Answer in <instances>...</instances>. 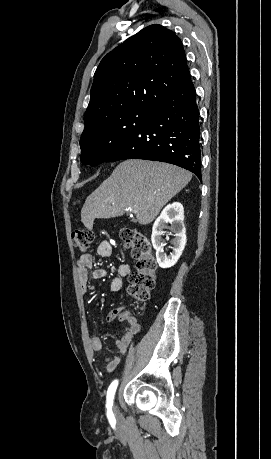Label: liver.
<instances>
[{
	"mask_svg": "<svg viewBox=\"0 0 271 459\" xmlns=\"http://www.w3.org/2000/svg\"><path fill=\"white\" fill-rule=\"evenodd\" d=\"M191 178V172L171 164L126 160L88 196L81 210V222L85 228L93 229L95 218H117L131 208L139 224L145 226L155 220L161 208Z\"/></svg>",
	"mask_w": 271,
	"mask_h": 459,
	"instance_id": "liver-1",
	"label": "liver"
}]
</instances>
